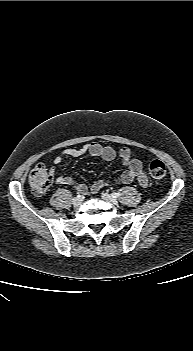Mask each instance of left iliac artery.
<instances>
[{
	"label": "left iliac artery",
	"instance_id": "obj_1",
	"mask_svg": "<svg viewBox=\"0 0 193 351\" xmlns=\"http://www.w3.org/2000/svg\"><path fill=\"white\" fill-rule=\"evenodd\" d=\"M119 196H120V193H118V192L112 193V197H114V198H118Z\"/></svg>",
	"mask_w": 193,
	"mask_h": 351
}]
</instances>
